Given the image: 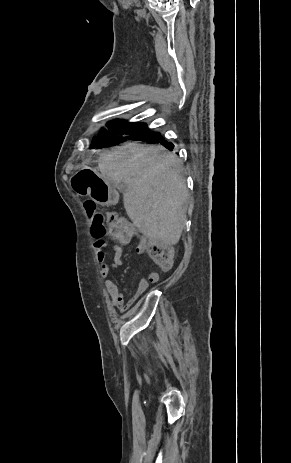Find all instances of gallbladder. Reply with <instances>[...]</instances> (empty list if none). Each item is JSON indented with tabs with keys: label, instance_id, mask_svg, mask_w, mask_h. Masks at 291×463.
<instances>
[{
	"label": "gallbladder",
	"instance_id": "1",
	"mask_svg": "<svg viewBox=\"0 0 291 463\" xmlns=\"http://www.w3.org/2000/svg\"><path fill=\"white\" fill-rule=\"evenodd\" d=\"M118 189L121 191V192H125L126 189H127V186L125 184H119L118 185Z\"/></svg>",
	"mask_w": 291,
	"mask_h": 463
}]
</instances>
